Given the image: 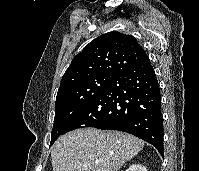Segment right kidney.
Wrapping results in <instances>:
<instances>
[{
  "mask_svg": "<svg viewBox=\"0 0 199 171\" xmlns=\"http://www.w3.org/2000/svg\"><path fill=\"white\" fill-rule=\"evenodd\" d=\"M126 171H147V169L139 163L132 164Z\"/></svg>",
  "mask_w": 199,
  "mask_h": 171,
  "instance_id": "1",
  "label": "right kidney"
}]
</instances>
